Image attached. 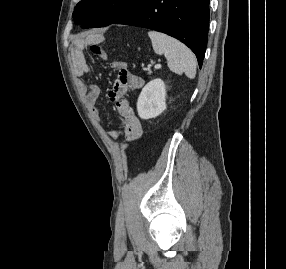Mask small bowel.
<instances>
[{"label": "small bowel", "mask_w": 286, "mask_h": 269, "mask_svg": "<svg viewBox=\"0 0 286 269\" xmlns=\"http://www.w3.org/2000/svg\"><path fill=\"white\" fill-rule=\"evenodd\" d=\"M90 50L95 56L103 61H107L109 58L108 54L103 49L101 51H97L91 46ZM71 60L73 63L75 75L77 77H83L89 72V66L86 62L84 54V43L81 41L76 40L74 42V47L71 52ZM115 65H117V62L111 63V67L114 69ZM135 78L140 77L135 76ZM82 88L86 94V103L92 114V117L98 121L100 115V109L97 104L99 89L95 84L88 82H84L82 84ZM124 92H120L119 88H115V84L109 91L110 99L116 102V110L119 114L121 123L119 129L109 132V136L114 140L119 137H124L126 139L124 146H126L142 136L143 127L140 120L136 116L135 111L131 110V103L128 100L121 99V96Z\"/></svg>", "instance_id": "small-bowel-1"}]
</instances>
